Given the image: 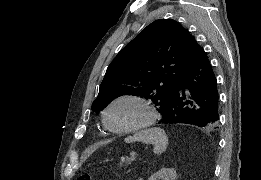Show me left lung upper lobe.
<instances>
[{
  "instance_id": "left-lung-upper-lobe-1",
  "label": "left lung upper lobe",
  "mask_w": 261,
  "mask_h": 180,
  "mask_svg": "<svg viewBox=\"0 0 261 180\" xmlns=\"http://www.w3.org/2000/svg\"><path fill=\"white\" fill-rule=\"evenodd\" d=\"M198 46L175 20L149 24L108 66L92 110L98 113L116 97L136 95L151 99L162 114Z\"/></svg>"
}]
</instances>
